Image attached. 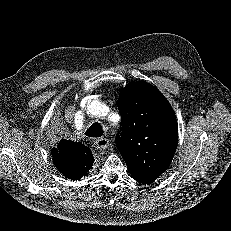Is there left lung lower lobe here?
Here are the masks:
<instances>
[{"label":"left lung lower lobe","instance_id":"0a47b994","mask_svg":"<svg viewBox=\"0 0 231 231\" xmlns=\"http://www.w3.org/2000/svg\"><path fill=\"white\" fill-rule=\"evenodd\" d=\"M133 179H135L136 181L143 183V184H150L152 182H154L158 176L156 175H132Z\"/></svg>","mask_w":231,"mask_h":231}]
</instances>
